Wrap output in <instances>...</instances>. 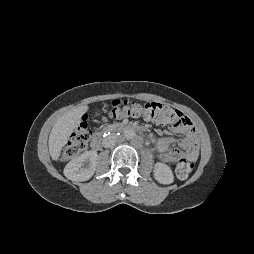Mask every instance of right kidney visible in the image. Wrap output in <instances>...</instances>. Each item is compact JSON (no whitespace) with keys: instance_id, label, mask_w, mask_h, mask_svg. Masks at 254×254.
<instances>
[{"instance_id":"obj_1","label":"right kidney","mask_w":254,"mask_h":254,"mask_svg":"<svg viewBox=\"0 0 254 254\" xmlns=\"http://www.w3.org/2000/svg\"><path fill=\"white\" fill-rule=\"evenodd\" d=\"M97 162V152L86 151L65 166L64 175L72 181L89 180L95 172Z\"/></svg>"}]
</instances>
